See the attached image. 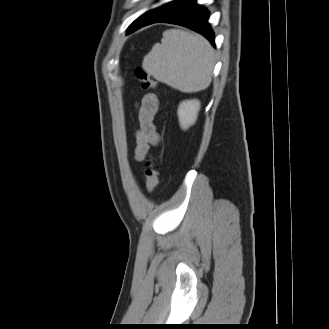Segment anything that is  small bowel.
<instances>
[{
  "instance_id": "small-bowel-1",
  "label": "small bowel",
  "mask_w": 329,
  "mask_h": 329,
  "mask_svg": "<svg viewBox=\"0 0 329 329\" xmlns=\"http://www.w3.org/2000/svg\"><path fill=\"white\" fill-rule=\"evenodd\" d=\"M158 99L153 94L143 97L137 109L139 129L136 132L135 159L143 161L150 147L160 142L154 119L158 111Z\"/></svg>"
}]
</instances>
